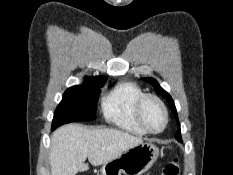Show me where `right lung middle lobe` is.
Wrapping results in <instances>:
<instances>
[{"label": "right lung middle lobe", "instance_id": "obj_1", "mask_svg": "<svg viewBox=\"0 0 233 175\" xmlns=\"http://www.w3.org/2000/svg\"><path fill=\"white\" fill-rule=\"evenodd\" d=\"M103 81H86L67 89L54 112L51 130L76 121H91L96 118V103Z\"/></svg>", "mask_w": 233, "mask_h": 175}]
</instances>
